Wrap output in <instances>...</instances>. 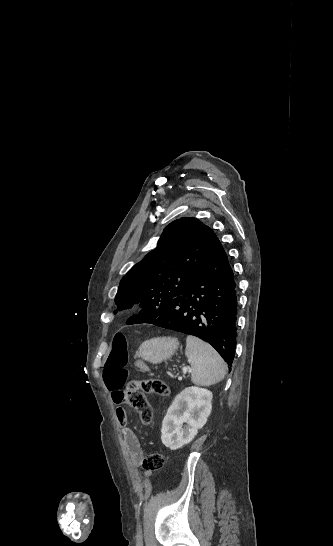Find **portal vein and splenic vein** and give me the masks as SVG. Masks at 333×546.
I'll list each match as a JSON object with an SVG mask.
<instances>
[{
    "label": "portal vein and splenic vein",
    "instance_id": "portal-vein-and-splenic-vein-1",
    "mask_svg": "<svg viewBox=\"0 0 333 546\" xmlns=\"http://www.w3.org/2000/svg\"><path fill=\"white\" fill-rule=\"evenodd\" d=\"M187 369H188L187 367H184V368H183V374H186Z\"/></svg>",
    "mask_w": 333,
    "mask_h": 546
}]
</instances>
